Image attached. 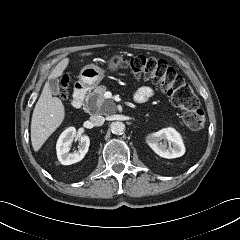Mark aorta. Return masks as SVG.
<instances>
[{"label":"aorta","instance_id":"1","mask_svg":"<svg viewBox=\"0 0 240 240\" xmlns=\"http://www.w3.org/2000/svg\"><path fill=\"white\" fill-rule=\"evenodd\" d=\"M111 131L115 135H121L125 131V124L123 122H114L111 125Z\"/></svg>","mask_w":240,"mask_h":240}]
</instances>
